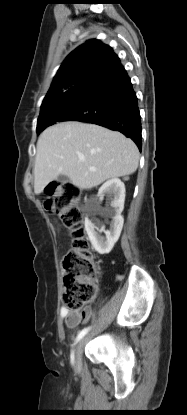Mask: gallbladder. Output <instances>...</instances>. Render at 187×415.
<instances>
[{"label": "gallbladder", "mask_w": 187, "mask_h": 415, "mask_svg": "<svg viewBox=\"0 0 187 415\" xmlns=\"http://www.w3.org/2000/svg\"><path fill=\"white\" fill-rule=\"evenodd\" d=\"M57 181L60 182V183H62V184H65V183H68L69 182V179H68L67 176L60 174L57 177Z\"/></svg>", "instance_id": "bac80fb5"}]
</instances>
